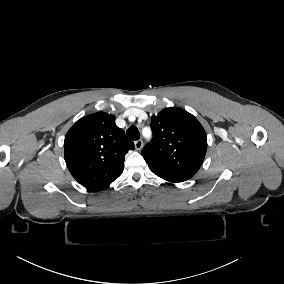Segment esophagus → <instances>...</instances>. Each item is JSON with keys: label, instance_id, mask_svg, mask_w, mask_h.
<instances>
[{"label": "esophagus", "instance_id": "obj_1", "mask_svg": "<svg viewBox=\"0 0 284 284\" xmlns=\"http://www.w3.org/2000/svg\"><path fill=\"white\" fill-rule=\"evenodd\" d=\"M134 144H135V148H136L137 150H140V149L143 147V141H142L141 139L135 141Z\"/></svg>", "mask_w": 284, "mask_h": 284}]
</instances>
